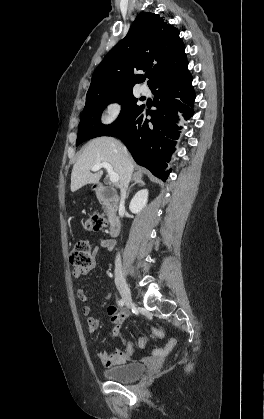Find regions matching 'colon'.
Segmentation results:
<instances>
[{"label": "colon", "mask_w": 264, "mask_h": 419, "mask_svg": "<svg viewBox=\"0 0 264 419\" xmlns=\"http://www.w3.org/2000/svg\"><path fill=\"white\" fill-rule=\"evenodd\" d=\"M87 229L91 231H99L105 228L106 220L103 216L99 214L92 215L87 221ZM69 261L71 265L76 268H90L94 263V255L89 242L85 240L78 241L73 247ZM158 336V331L154 330L150 332V337L155 339ZM147 339L145 337H140L138 339L137 345L139 347H144ZM133 346V344L131 343ZM134 347V346H133Z\"/></svg>", "instance_id": "obj_1"}]
</instances>
